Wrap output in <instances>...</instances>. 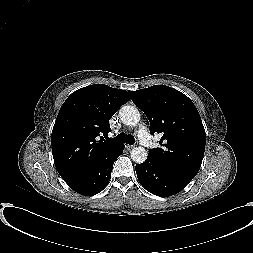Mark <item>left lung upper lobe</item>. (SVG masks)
Returning a JSON list of instances; mask_svg holds the SVG:
<instances>
[{"mask_svg":"<svg viewBox=\"0 0 253 253\" xmlns=\"http://www.w3.org/2000/svg\"><path fill=\"white\" fill-rule=\"evenodd\" d=\"M132 101L150 121V133L162 135L160 148L149 150L159 164L193 179L205 151L206 134L193 102L180 91L154 85L130 91Z\"/></svg>","mask_w":253,"mask_h":253,"instance_id":"5c2ea615","label":"left lung upper lobe"}]
</instances>
